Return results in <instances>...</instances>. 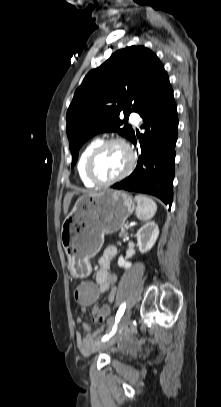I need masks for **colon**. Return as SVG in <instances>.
<instances>
[{
  "instance_id": "5ec220e1",
  "label": "colon",
  "mask_w": 221,
  "mask_h": 407,
  "mask_svg": "<svg viewBox=\"0 0 221 407\" xmlns=\"http://www.w3.org/2000/svg\"><path fill=\"white\" fill-rule=\"evenodd\" d=\"M72 294L76 306H80L82 311H87L89 306L96 305L100 298L99 285L95 283L93 277H85L83 283H75ZM111 306L103 305L99 314H95V320L100 322H111Z\"/></svg>"
}]
</instances>
